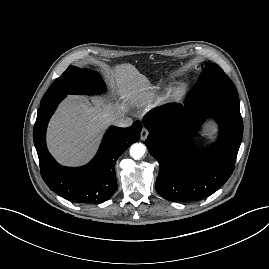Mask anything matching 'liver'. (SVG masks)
<instances>
[{
  "instance_id": "liver-1",
  "label": "liver",
  "mask_w": 269,
  "mask_h": 269,
  "mask_svg": "<svg viewBox=\"0 0 269 269\" xmlns=\"http://www.w3.org/2000/svg\"><path fill=\"white\" fill-rule=\"evenodd\" d=\"M110 73V80L123 99L119 105L97 100L91 103L79 96H69L51 119L47 143L59 163L78 166L88 162L97 150L104 129L122 119L128 104L151 96L153 86L130 63L117 65Z\"/></svg>"
}]
</instances>
